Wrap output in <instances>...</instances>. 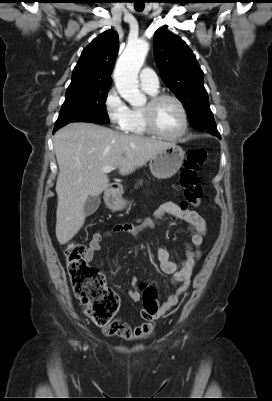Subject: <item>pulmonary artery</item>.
<instances>
[{"label": "pulmonary artery", "instance_id": "e3ab8cb5", "mask_svg": "<svg viewBox=\"0 0 272 401\" xmlns=\"http://www.w3.org/2000/svg\"><path fill=\"white\" fill-rule=\"evenodd\" d=\"M139 80L144 90L157 91L159 88V79L155 71L149 67L141 71Z\"/></svg>", "mask_w": 272, "mask_h": 401}]
</instances>
